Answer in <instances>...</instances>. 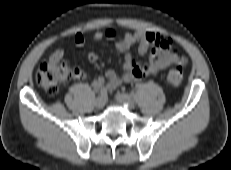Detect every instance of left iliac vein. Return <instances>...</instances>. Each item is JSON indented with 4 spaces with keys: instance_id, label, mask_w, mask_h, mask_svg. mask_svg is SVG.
I'll return each instance as SVG.
<instances>
[{
    "instance_id": "1",
    "label": "left iliac vein",
    "mask_w": 231,
    "mask_h": 170,
    "mask_svg": "<svg viewBox=\"0 0 231 170\" xmlns=\"http://www.w3.org/2000/svg\"><path fill=\"white\" fill-rule=\"evenodd\" d=\"M115 99L117 100V102L127 106L129 109H133L135 106L134 101L131 99V97L128 94L117 93L115 95Z\"/></svg>"
}]
</instances>
